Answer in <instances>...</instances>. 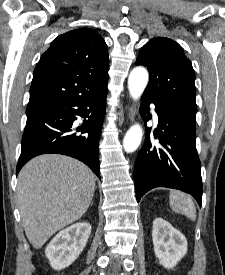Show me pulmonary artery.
<instances>
[{"label": "pulmonary artery", "mask_w": 225, "mask_h": 275, "mask_svg": "<svg viewBox=\"0 0 225 275\" xmlns=\"http://www.w3.org/2000/svg\"><path fill=\"white\" fill-rule=\"evenodd\" d=\"M154 117H155V118H157V114H156V112H155V111H154Z\"/></svg>", "instance_id": "pulmonary-artery-1"}]
</instances>
